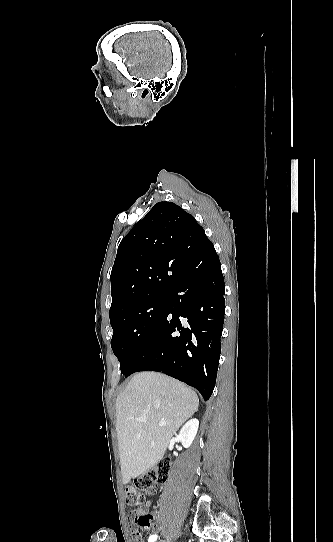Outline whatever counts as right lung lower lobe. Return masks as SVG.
Segmentation results:
<instances>
[{
	"label": "right lung lower lobe",
	"instance_id": "right-lung-lower-lobe-1",
	"mask_svg": "<svg viewBox=\"0 0 333 542\" xmlns=\"http://www.w3.org/2000/svg\"><path fill=\"white\" fill-rule=\"evenodd\" d=\"M183 278L126 377L158 371L195 387L208 400L216 382L225 313V286L212 242L180 252ZM171 314V316H169Z\"/></svg>",
	"mask_w": 333,
	"mask_h": 542
}]
</instances>
